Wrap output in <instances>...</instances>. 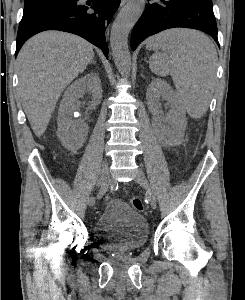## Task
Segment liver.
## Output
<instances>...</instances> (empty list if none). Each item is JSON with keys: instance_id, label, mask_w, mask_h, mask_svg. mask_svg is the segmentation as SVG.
<instances>
[{"instance_id": "1", "label": "liver", "mask_w": 245, "mask_h": 300, "mask_svg": "<svg viewBox=\"0 0 245 300\" xmlns=\"http://www.w3.org/2000/svg\"><path fill=\"white\" fill-rule=\"evenodd\" d=\"M93 57L89 42L60 31L39 33L24 44L17 57L19 95L37 137L46 131L64 89Z\"/></svg>"}]
</instances>
